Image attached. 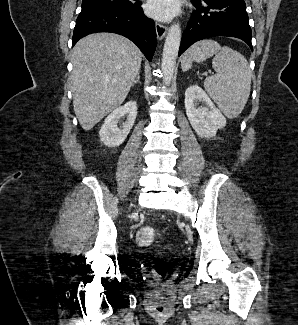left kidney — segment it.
<instances>
[{
    "label": "left kidney",
    "mask_w": 298,
    "mask_h": 325,
    "mask_svg": "<svg viewBox=\"0 0 298 325\" xmlns=\"http://www.w3.org/2000/svg\"><path fill=\"white\" fill-rule=\"evenodd\" d=\"M185 112L198 136H216L218 128L226 126V118L198 84H190L185 90Z\"/></svg>",
    "instance_id": "5707ae66"
}]
</instances>
